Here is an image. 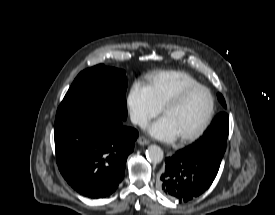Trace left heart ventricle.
I'll list each match as a JSON object with an SVG mask.
<instances>
[{
  "label": "left heart ventricle",
  "mask_w": 275,
  "mask_h": 215,
  "mask_svg": "<svg viewBox=\"0 0 275 215\" xmlns=\"http://www.w3.org/2000/svg\"><path fill=\"white\" fill-rule=\"evenodd\" d=\"M210 108V97L203 89L188 94L180 104L166 112L164 117L170 122L177 137L196 130L205 119Z\"/></svg>",
  "instance_id": "b2bd125f"
}]
</instances>
